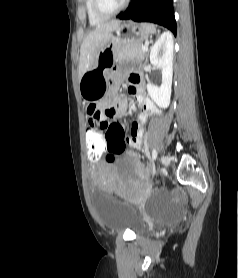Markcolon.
<instances>
[{"instance_id": "colon-1", "label": "colon", "mask_w": 238, "mask_h": 278, "mask_svg": "<svg viewBox=\"0 0 238 278\" xmlns=\"http://www.w3.org/2000/svg\"><path fill=\"white\" fill-rule=\"evenodd\" d=\"M84 134L88 153L87 162H100L105 153L106 160L113 162L125 150L126 145L122 137H108L106 141V137H98L96 130H85Z\"/></svg>"}]
</instances>
